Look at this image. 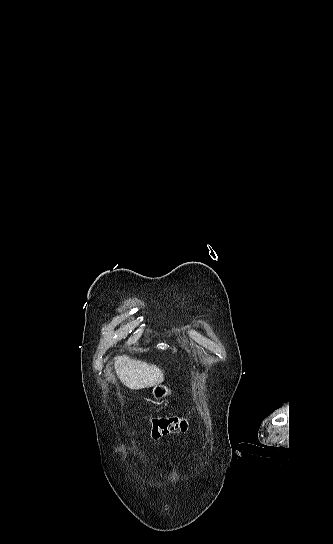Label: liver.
Masks as SVG:
<instances>
[{"label":"liver","instance_id":"liver-1","mask_svg":"<svg viewBox=\"0 0 333 544\" xmlns=\"http://www.w3.org/2000/svg\"><path fill=\"white\" fill-rule=\"evenodd\" d=\"M115 369L120 381L132 390L152 387L164 380L159 367L127 356L115 357Z\"/></svg>","mask_w":333,"mask_h":544}]
</instances>
